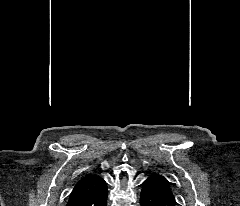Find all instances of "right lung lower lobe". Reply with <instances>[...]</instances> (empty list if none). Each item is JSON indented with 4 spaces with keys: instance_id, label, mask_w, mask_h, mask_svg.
I'll list each match as a JSON object with an SVG mask.
<instances>
[{
    "instance_id": "98d812e1",
    "label": "right lung lower lobe",
    "mask_w": 240,
    "mask_h": 206,
    "mask_svg": "<svg viewBox=\"0 0 240 206\" xmlns=\"http://www.w3.org/2000/svg\"><path fill=\"white\" fill-rule=\"evenodd\" d=\"M71 206H107V185L104 184L95 194Z\"/></svg>"
}]
</instances>
